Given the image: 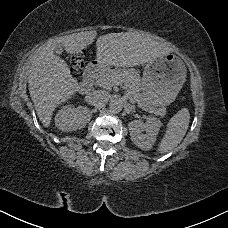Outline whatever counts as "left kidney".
I'll list each match as a JSON object with an SVG mask.
<instances>
[{
	"instance_id": "1",
	"label": "left kidney",
	"mask_w": 228,
	"mask_h": 228,
	"mask_svg": "<svg viewBox=\"0 0 228 228\" xmlns=\"http://www.w3.org/2000/svg\"><path fill=\"white\" fill-rule=\"evenodd\" d=\"M161 125L162 123L154 117L147 118L145 123L142 120L129 122L128 128L132 142L141 150L152 149Z\"/></svg>"
}]
</instances>
